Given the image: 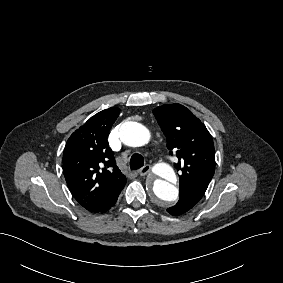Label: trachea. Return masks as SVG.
I'll use <instances>...</instances> for the list:
<instances>
[{"mask_svg":"<svg viewBox=\"0 0 283 283\" xmlns=\"http://www.w3.org/2000/svg\"><path fill=\"white\" fill-rule=\"evenodd\" d=\"M129 164L131 170L140 169L144 165V158L141 154L135 153L131 156Z\"/></svg>","mask_w":283,"mask_h":283,"instance_id":"1","label":"trachea"}]
</instances>
